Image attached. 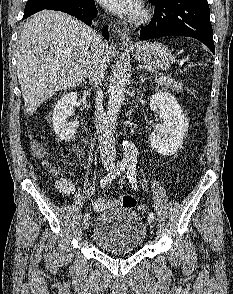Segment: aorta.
I'll return each mask as SVG.
<instances>
[{
  "label": "aorta",
  "mask_w": 233,
  "mask_h": 294,
  "mask_svg": "<svg viewBox=\"0 0 233 294\" xmlns=\"http://www.w3.org/2000/svg\"><path fill=\"white\" fill-rule=\"evenodd\" d=\"M127 80V66L119 62L117 68L113 72L107 106V124L112 134L116 133V120L124 100ZM122 146L124 150L123 162L129 167H135L137 164V151L134 144L130 141L123 140Z\"/></svg>",
  "instance_id": "obj_1"
}]
</instances>
